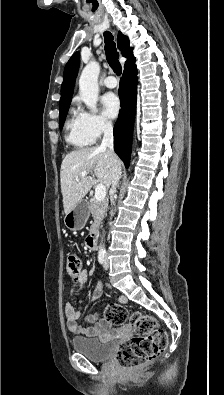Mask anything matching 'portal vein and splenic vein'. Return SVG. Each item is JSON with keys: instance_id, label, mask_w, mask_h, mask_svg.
I'll return each instance as SVG.
<instances>
[{"instance_id": "portal-vein-and-splenic-vein-1", "label": "portal vein and splenic vein", "mask_w": 224, "mask_h": 395, "mask_svg": "<svg viewBox=\"0 0 224 395\" xmlns=\"http://www.w3.org/2000/svg\"><path fill=\"white\" fill-rule=\"evenodd\" d=\"M89 174L88 172L84 171L81 173V176H85ZM94 176V174H93ZM77 181H79V179H76ZM106 196V187L103 184H98L95 188V195H94V199H96L97 201H102L105 199Z\"/></svg>"}]
</instances>
